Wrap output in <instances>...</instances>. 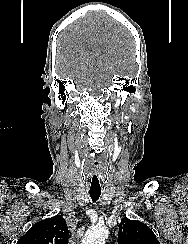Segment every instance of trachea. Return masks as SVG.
<instances>
[{
    "label": "trachea",
    "instance_id": "1",
    "mask_svg": "<svg viewBox=\"0 0 188 244\" xmlns=\"http://www.w3.org/2000/svg\"><path fill=\"white\" fill-rule=\"evenodd\" d=\"M89 195L93 202H96L103 190L102 187V180H91V183H89Z\"/></svg>",
    "mask_w": 188,
    "mask_h": 244
}]
</instances>
